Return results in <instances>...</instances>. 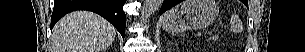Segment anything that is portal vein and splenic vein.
<instances>
[{"label":"portal vein and splenic vein","mask_w":305,"mask_h":52,"mask_svg":"<svg viewBox=\"0 0 305 52\" xmlns=\"http://www.w3.org/2000/svg\"><path fill=\"white\" fill-rule=\"evenodd\" d=\"M208 34H210V35H211V34H212V32L210 31V32H208Z\"/></svg>","instance_id":"portal-vein-and-splenic-vein-1"}]
</instances>
